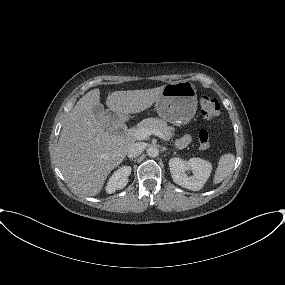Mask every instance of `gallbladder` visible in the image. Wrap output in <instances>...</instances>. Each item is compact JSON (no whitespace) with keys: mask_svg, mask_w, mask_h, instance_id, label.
<instances>
[{"mask_svg":"<svg viewBox=\"0 0 285 285\" xmlns=\"http://www.w3.org/2000/svg\"><path fill=\"white\" fill-rule=\"evenodd\" d=\"M93 114L96 117V119L100 122L103 128H106L105 126V117L107 115V112L104 109V106L102 104H97L93 106L92 108Z\"/></svg>","mask_w":285,"mask_h":285,"instance_id":"1","label":"gallbladder"}]
</instances>
